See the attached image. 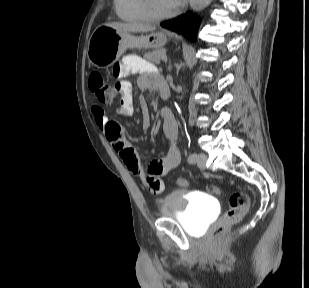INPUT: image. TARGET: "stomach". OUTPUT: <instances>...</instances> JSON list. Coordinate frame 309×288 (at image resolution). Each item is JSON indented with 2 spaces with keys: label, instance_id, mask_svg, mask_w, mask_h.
Listing matches in <instances>:
<instances>
[{
  "label": "stomach",
  "instance_id": "0dacf381",
  "mask_svg": "<svg viewBox=\"0 0 309 288\" xmlns=\"http://www.w3.org/2000/svg\"><path fill=\"white\" fill-rule=\"evenodd\" d=\"M167 42L162 32L134 36L129 32L117 30L107 25L97 27L88 41L87 57L98 68L113 65L128 48H161Z\"/></svg>",
  "mask_w": 309,
  "mask_h": 288
}]
</instances>
